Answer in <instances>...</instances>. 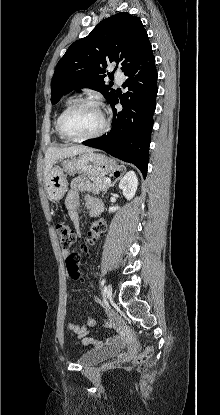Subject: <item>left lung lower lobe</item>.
I'll use <instances>...</instances> for the list:
<instances>
[{"label": "left lung lower lobe", "mask_w": 220, "mask_h": 415, "mask_svg": "<svg viewBox=\"0 0 220 415\" xmlns=\"http://www.w3.org/2000/svg\"><path fill=\"white\" fill-rule=\"evenodd\" d=\"M124 74L128 79L123 85L128 87V91L123 96L115 93L109 102L113 109L112 129L99 138L84 141L83 144L133 163L145 178L157 95L154 55L142 65L127 69ZM119 99L123 107L121 111L115 109Z\"/></svg>", "instance_id": "1"}]
</instances>
